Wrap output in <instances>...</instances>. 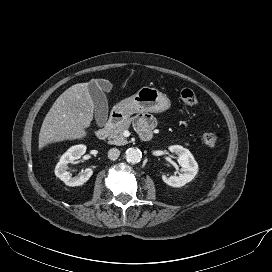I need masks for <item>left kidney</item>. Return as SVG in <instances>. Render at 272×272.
I'll return each instance as SVG.
<instances>
[{
  "mask_svg": "<svg viewBox=\"0 0 272 272\" xmlns=\"http://www.w3.org/2000/svg\"><path fill=\"white\" fill-rule=\"evenodd\" d=\"M169 150L178 156V162L183 173L180 176L170 177L162 175V180L171 187H182L194 179L198 172V164L191 152L183 146L172 145Z\"/></svg>",
  "mask_w": 272,
  "mask_h": 272,
  "instance_id": "5707ae66",
  "label": "left kidney"
}]
</instances>
